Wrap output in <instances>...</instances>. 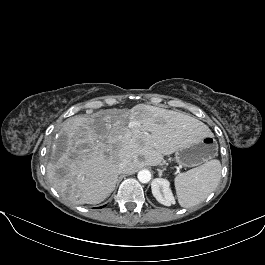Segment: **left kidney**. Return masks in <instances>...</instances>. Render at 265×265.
Segmentation results:
<instances>
[{"mask_svg":"<svg viewBox=\"0 0 265 265\" xmlns=\"http://www.w3.org/2000/svg\"><path fill=\"white\" fill-rule=\"evenodd\" d=\"M152 194L156 200L165 205L175 204V199L170 189V183L167 179L156 178L151 184Z\"/></svg>","mask_w":265,"mask_h":265,"instance_id":"1","label":"left kidney"}]
</instances>
